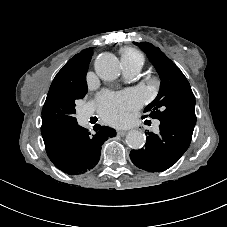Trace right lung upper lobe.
<instances>
[{"instance_id":"1","label":"right lung upper lobe","mask_w":227,"mask_h":227,"mask_svg":"<svg viewBox=\"0 0 227 227\" xmlns=\"http://www.w3.org/2000/svg\"><path fill=\"white\" fill-rule=\"evenodd\" d=\"M93 48L82 50L72 57L57 73L50 89L62 86L82 88L87 86L86 73L91 60Z\"/></svg>"}]
</instances>
